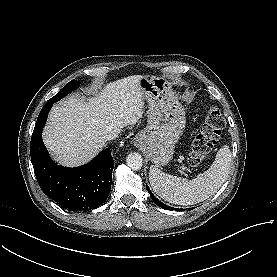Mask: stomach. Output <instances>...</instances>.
<instances>
[{"mask_svg":"<svg viewBox=\"0 0 277 277\" xmlns=\"http://www.w3.org/2000/svg\"><path fill=\"white\" fill-rule=\"evenodd\" d=\"M139 84L149 106V116L147 127L136 135L135 142L145 148L155 166H164L172 160L175 145L183 134L185 113L166 79L146 75Z\"/></svg>","mask_w":277,"mask_h":277,"instance_id":"obj_1","label":"stomach"}]
</instances>
